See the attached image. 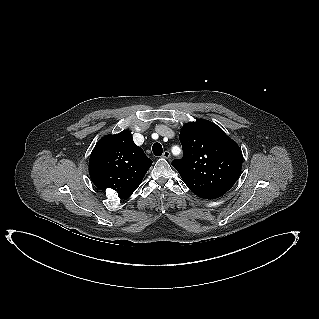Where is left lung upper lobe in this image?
Listing matches in <instances>:
<instances>
[{
    "instance_id": "1",
    "label": "left lung upper lobe",
    "mask_w": 319,
    "mask_h": 319,
    "mask_svg": "<svg viewBox=\"0 0 319 319\" xmlns=\"http://www.w3.org/2000/svg\"><path fill=\"white\" fill-rule=\"evenodd\" d=\"M183 158L174 160L188 188L198 197L215 199L237 181L242 167V151L216 124L199 119L183 126L179 136Z\"/></svg>"
}]
</instances>
